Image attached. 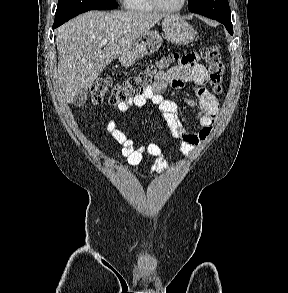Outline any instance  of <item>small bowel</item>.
<instances>
[{
  "label": "small bowel",
  "instance_id": "small-bowel-1",
  "mask_svg": "<svg viewBox=\"0 0 288 293\" xmlns=\"http://www.w3.org/2000/svg\"><path fill=\"white\" fill-rule=\"evenodd\" d=\"M208 78V72L199 63L197 54H187L167 72H159L154 84L141 94L119 103L118 109L125 112L132 106L144 107L148 102L157 106L168 127L170 137L177 142L183 153L190 154L208 137L219 112L216 97L203 88L208 82ZM186 82H193L199 87L197 100L184 99L188 106L197 109L196 121L201 127L198 132H191L186 128L179 114L177 103L163 96V92L169 86L175 90H182ZM107 131L120 145L121 153L130 165H138L148 154L155 158L151 167L152 172H160L166 168L161 145L155 142L136 145L125 132L117 128L113 119L108 122Z\"/></svg>",
  "mask_w": 288,
  "mask_h": 293
}]
</instances>
